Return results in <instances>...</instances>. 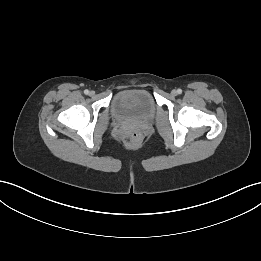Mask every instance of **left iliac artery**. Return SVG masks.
<instances>
[{"label":"left iliac artery","mask_w":261,"mask_h":261,"mask_svg":"<svg viewBox=\"0 0 261 261\" xmlns=\"http://www.w3.org/2000/svg\"><path fill=\"white\" fill-rule=\"evenodd\" d=\"M177 93H178V94H181V93H182V90H181V89H178V90H177Z\"/></svg>","instance_id":"1"}]
</instances>
